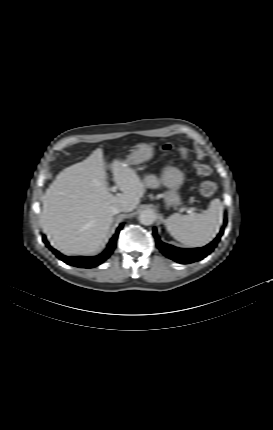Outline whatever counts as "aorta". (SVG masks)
<instances>
[{
	"instance_id": "1",
	"label": "aorta",
	"mask_w": 273,
	"mask_h": 430,
	"mask_svg": "<svg viewBox=\"0 0 273 430\" xmlns=\"http://www.w3.org/2000/svg\"><path fill=\"white\" fill-rule=\"evenodd\" d=\"M156 218V213L152 209L143 210L139 215V221L143 225L153 224Z\"/></svg>"
}]
</instances>
